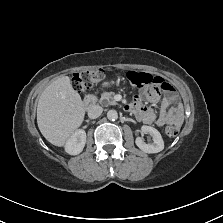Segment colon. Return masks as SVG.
Returning a JSON list of instances; mask_svg holds the SVG:
<instances>
[{
	"label": "colon",
	"instance_id": "colon-1",
	"mask_svg": "<svg viewBox=\"0 0 223 223\" xmlns=\"http://www.w3.org/2000/svg\"><path fill=\"white\" fill-rule=\"evenodd\" d=\"M105 73L103 69H92L84 70L80 72H75L71 76V82L73 88L81 93L85 92L88 89L92 88L95 84L104 79ZM128 78L134 86L145 87L153 86L156 91H163L165 89L164 83H157L158 77H154L147 73L134 72L131 71L128 73ZM179 133V127L169 126L166 128V134L169 137H175Z\"/></svg>",
	"mask_w": 223,
	"mask_h": 223
}]
</instances>
